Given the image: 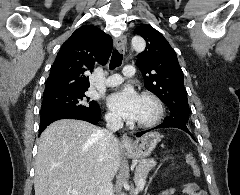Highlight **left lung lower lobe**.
Returning a JSON list of instances; mask_svg holds the SVG:
<instances>
[{
    "label": "left lung lower lobe",
    "mask_w": 240,
    "mask_h": 195,
    "mask_svg": "<svg viewBox=\"0 0 240 195\" xmlns=\"http://www.w3.org/2000/svg\"><path fill=\"white\" fill-rule=\"evenodd\" d=\"M169 127L178 128V129H181V130L191 134L190 131H189V126L184 125V124L174 123V122H164V123L156 126L155 128H152L150 130L157 129V128H169ZM150 130L138 132V133H136V136L140 137L141 135H143L144 133H146V132H148Z\"/></svg>",
    "instance_id": "obj_1"
}]
</instances>
